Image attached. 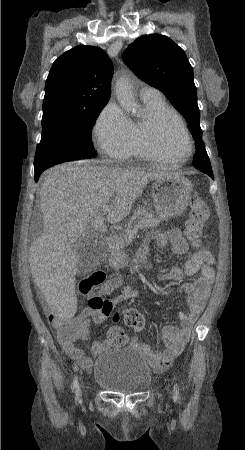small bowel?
Returning <instances> with one entry per match:
<instances>
[{"label":"small bowel","instance_id":"obj_1","mask_svg":"<svg viewBox=\"0 0 245 450\" xmlns=\"http://www.w3.org/2000/svg\"><path fill=\"white\" fill-rule=\"evenodd\" d=\"M148 240L158 247H165L170 244L173 254L176 256L185 254L188 249L187 242L177 229H173L167 233L155 231L149 236ZM184 272L189 275L199 273V276L194 282L184 283L179 287L181 292L186 293L188 300V310L180 311L177 314L178 319L181 321V326L179 328L164 327L162 329L163 347L158 348L157 350H153L148 342L141 341L137 336H132L128 342L130 347L137 349L145 356L149 365L157 372L166 371L173 361L182 353L189 340L192 327L204 309L211 285L215 278V271L212 268V264L205 263L201 259L199 252H194L189 256L184 262L183 270L177 266H173L168 270L157 272L155 275L160 281H176L182 278ZM113 291L116 293L115 296L106 301L109 307H112L115 303L124 302L142 295L141 291L136 290L131 286H122L121 279L116 283ZM87 296L92 298L91 293H87ZM109 315L110 311L94 310L89 306L76 317L72 318V321H78L85 324L87 334L84 338H86L89 329L102 324ZM108 333L105 338L97 339L92 342L91 350L94 354H101L114 346ZM58 340L71 359L75 360L84 369L91 368L92 359L85 356L83 351L75 345V340L69 342L63 341L59 334Z\"/></svg>","mask_w":245,"mask_h":450}]
</instances>
